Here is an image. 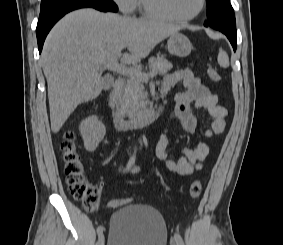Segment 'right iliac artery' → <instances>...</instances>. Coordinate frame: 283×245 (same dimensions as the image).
I'll return each instance as SVG.
<instances>
[{
  "label": "right iliac artery",
  "mask_w": 283,
  "mask_h": 245,
  "mask_svg": "<svg viewBox=\"0 0 283 245\" xmlns=\"http://www.w3.org/2000/svg\"><path fill=\"white\" fill-rule=\"evenodd\" d=\"M135 158H136V156H135V154H133V155L131 156V158L129 159V161H128L127 168H129L130 166H132V165L135 163ZM125 171H127V170H125ZM103 231H104V227H103V226H99V227L97 228V233H98V235L102 234Z\"/></svg>",
  "instance_id": "1"
}]
</instances>
